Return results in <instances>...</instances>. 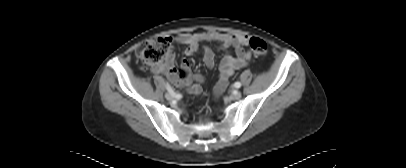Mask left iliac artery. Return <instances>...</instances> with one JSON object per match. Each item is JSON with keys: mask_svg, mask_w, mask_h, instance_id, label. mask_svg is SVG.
<instances>
[{"mask_svg": "<svg viewBox=\"0 0 406 168\" xmlns=\"http://www.w3.org/2000/svg\"><path fill=\"white\" fill-rule=\"evenodd\" d=\"M234 87H235V88H240V87H241V83H240V82H236V83L234 84Z\"/></svg>", "mask_w": 406, "mask_h": 168, "instance_id": "44dca946", "label": "left iliac artery"}]
</instances>
